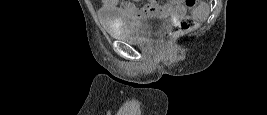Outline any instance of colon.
Returning <instances> with one entry per match:
<instances>
[{"mask_svg":"<svg viewBox=\"0 0 267 115\" xmlns=\"http://www.w3.org/2000/svg\"><path fill=\"white\" fill-rule=\"evenodd\" d=\"M187 3L190 6L197 8L201 2L198 0H188ZM195 26H196V21L192 16L184 17L179 21V23L166 29V31L162 35V39L164 41L173 40L179 37L180 35L194 29Z\"/></svg>","mask_w":267,"mask_h":115,"instance_id":"5ec220e1","label":"colon"}]
</instances>
